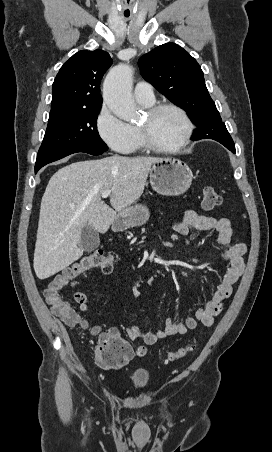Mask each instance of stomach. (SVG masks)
<instances>
[{"label":"stomach","mask_w":272,"mask_h":452,"mask_svg":"<svg viewBox=\"0 0 272 452\" xmlns=\"http://www.w3.org/2000/svg\"><path fill=\"white\" fill-rule=\"evenodd\" d=\"M192 172L188 165L177 158H159L150 170V184L154 191L164 196H179L192 183ZM150 213L143 205H134L120 214L119 227L127 229L147 222Z\"/></svg>","instance_id":"obj_1"}]
</instances>
